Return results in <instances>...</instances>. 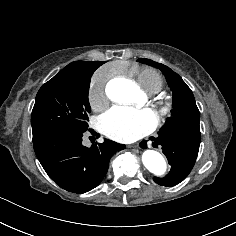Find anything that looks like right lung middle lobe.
Segmentation results:
<instances>
[{
	"mask_svg": "<svg viewBox=\"0 0 236 236\" xmlns=\"http://www.w3.org/2000/svg\"><path fill=\"white\" fill-rule=\"evenodd\" d=\"M92 74L58 73L40 88L31 115L33 135L56 129L79 132L88 129L87 113L91 112L88 91Z\"/></svg>",
	"mask_w": 236,
	"mask_h": 236,
	"instance_id": "obj_1",
	"label": "right lung middle lobe"
}]
</instances>
